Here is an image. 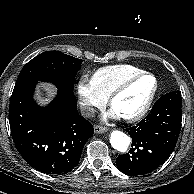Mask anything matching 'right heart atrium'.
Returning a JSON list of instances; mask_svg holds the SVG:
<instances>
[{"instance_id": "d8ad5b80", "label": "right heart atrium", "mask_w": 194, "mask_h": 194, "mask_svg": "<svg viewBox=\"0 0 194 194\" xmlns=\"http://www.w3.org/2000/svg\"><path fill=\"white\" fill-rule=\"evenodd\" d=\"M76 94L80 110L85 116H91L97 108L106 103V99L98 93L91 79L85 75L76 83Z\"/></svg>"}]
</instances>
